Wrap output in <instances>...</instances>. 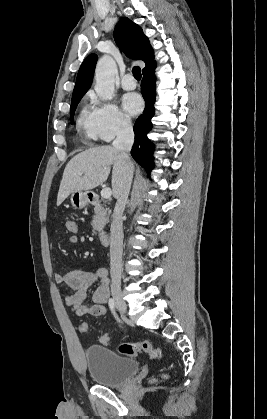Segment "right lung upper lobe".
<instances>
[{"label": "right lung upper lobe", "mask_w": 267, "mask_h": 419, "mask_svg": "<svg viewBox=\"0 0 267 419\" xmlns=\"http://www.w3.org/2000/svg\"><path fill=\"white\" fill-rule=\"evenodd\" d=\"M114 39L119 48L131 59L142 60L146 66L142 70L155 64L154 52L148 38L143 34L140 26L129 18L123 17L116 25ZM97 55H89L82 63L72 97L83 96L91 86Z\"/></svg>", "instance_id": "obj_1"}]
</instances>
